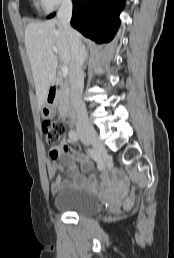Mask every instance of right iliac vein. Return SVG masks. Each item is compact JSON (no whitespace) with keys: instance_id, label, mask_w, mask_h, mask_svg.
<instances>
[{"instance_id":"obj_1","label":"right iliac vein","mask_w":174,"mask_h":258,"mask_svg":"<svg viewBox=\"0 0 174 258\" xmlns=\"http://www.w3.org/2000/svg\"><path fill=\"white\" fill-rule=\"evenodd\" d=\"M83 138L91 143L100 154L104 155L106 153L105 146L100 141L98 134L95 130L85 133L83 135Z\"/></svg>"}]
</instances>
